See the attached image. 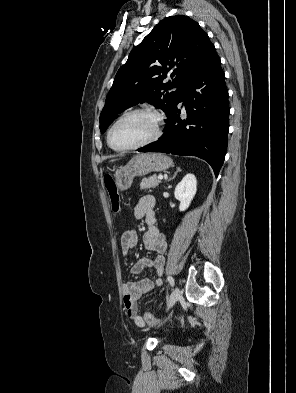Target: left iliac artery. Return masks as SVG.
Here are the masks:
<instances>
[{
  "label": "left iliac artery",
  "mask_w": 296,
  "mask_h": 393,
  "mask_svg": "<svg viewBox=\"0 0 296 393\" xmlns=\"http://www.w3.org/2000/svg\"><path fill=\"white\" fill-rule=\"evenodd\" d=\"M167 280H168L169 284L173 287L174 284H175L173 277L172 276H168Z\"/></svg>",
  "instance_id": "44dca946"
}]
</instances>
